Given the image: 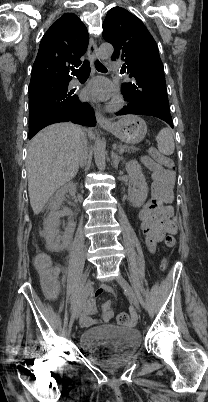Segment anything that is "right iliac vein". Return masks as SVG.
Returning a JSON list of instances; mask_svg holds the SVG:
<instances>
[{"label":"right iliac vein","instance_id":"63e3f726","mask_svg":"<svg viewBox=\"0 0 208 402\" xmlns=\"http://www.w3.org/2000/svg\"><path fill=\"white\" fill-rule=\"evenodd\" d=\"M91 289H92V281H91V279H88L86 281V283H85V286H84V289H83V296H82V299H81V301L79 303V306H78V309H77V312H76V319L81 315V313H82V311H83V309L85 307L86 300H87V297L90 294Z\"/></svg>","mask_w":208,"mask_h":402}]
</instances>
